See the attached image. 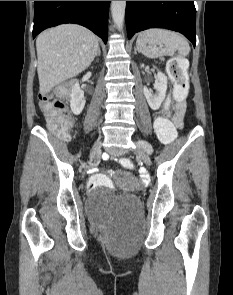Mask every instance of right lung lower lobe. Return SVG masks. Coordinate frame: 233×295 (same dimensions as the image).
<instances>
[{
  "label": "right lung lower lobe",
  "mask_w": 233,
  "mask_h": 295,
  "mask_svg": "<svg viewBox=\"0 0 233 295\" xmlns=\"http://www.w3.org/2000/svg\"><path fill=\"white\" fill-rule=\"evenodd\" d=\"M110 1H34L33 38L63 23L83 25L107 43Z\"/></svg>",
  "instance_id": "98d812e1"
}]
</instances>
